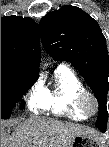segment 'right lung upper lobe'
<instances>
[{"label":"right lung upper lobe","mask_w":109,"mask_h":147,"mask_svg":"<svg viewBox=\"0 0 109 147\" xmlns=\"http://www.w3.org/2000/svg\"><path fill=\"white\" fill-rule=\"evenodd\" d=\"M41 59L39 31L31 18H1V63L38 74Z\"/></svg>","instance_id":"1"}]
</instances>
